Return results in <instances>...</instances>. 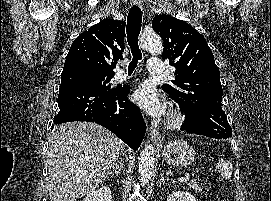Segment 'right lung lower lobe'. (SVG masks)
<instances>
[{
  "label": "right lung lower lobe",
  "mask_w": 271,
  "mask_h": 201,
  "mask_svg": "<svg viewBox=\"0 0 271 201\" xmlns=\"http://www.w3.org/2000/svg\"><path fill=\"white\" fill-rule=\"evenodd\" d=\"M129 92L128 86L104 90L85 87L76 80H65L60 85L57 100L60 110L54 123L95 122L136 150L143 140L146 126L139 108L128 101Z\"/></svg>",
  "instance_id": "1"
}]
</instances>
